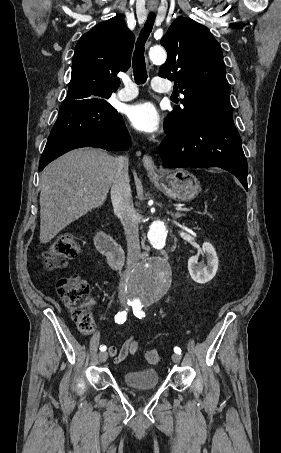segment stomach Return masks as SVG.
Wrapping results in <instances>:
<instances>
[{"mask_svg": "<svg viewBox=\"0 0 281 453\" xmlns=\"http://www.w3.org/2000/svg\"><path fill=\"white\" fill-rule=\"evenodd\" d=\"M149 178L166 196L173 200H192L200 190L198 178L184 168H175V170L166 168Z\"/></svg>", "mask_w": 281, "mask_h": 453, "instance_id": "obj_1", "label": "stomach"}]
</instances>
